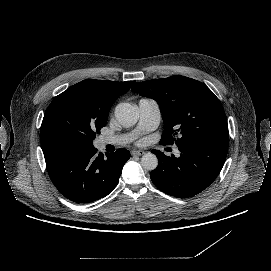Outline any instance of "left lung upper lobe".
<instances>
[{"label": "left lung upper lobe", "instance_id": "left-lung-upper-lobe-1", "mask_svg": "<svg viewBox=\"0 0 271 271\" xmlns=\"http://www.w3.org/2000/svg\"><path fill=\"white\" fill-rule=\"evenodd\" d=\"M132 91L160 105L165 128L161 144L175 141L179 146L195 145L201 139L229 140L223 107L203 83L184 76H171L138 82Z\"/></svg>", "mask_w": 271, "mask_h": 271}]
</instances>
